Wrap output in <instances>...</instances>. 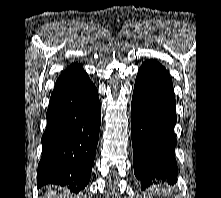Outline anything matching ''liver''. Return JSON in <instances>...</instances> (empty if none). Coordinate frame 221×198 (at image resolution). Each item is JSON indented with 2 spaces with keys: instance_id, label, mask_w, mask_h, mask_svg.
Here are the masks:
<instances>
[{
  "instance_id": "6515ba94",
  "label": "liver",
  "mask_w": 221,
  "mask_h": 198,
  "mask_svg": "<svg viewBox=\"0 0 221 198\" xmlns=\"http://www.w3.org/2000/svg\"><path fill=\"white\" fill-rule=\"evenodd\" d=\"M61 188L55 186H47L46 195L41 198H63L62 193L59 194Z\"/></svg>"
}]
</instances>
